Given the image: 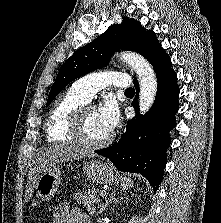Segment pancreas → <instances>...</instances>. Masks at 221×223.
<instances>
[{"mask_svg": "<svg viewBox=\"0 0 221 223\" xmlns=\"http://www.w3.org/2000/svg\"><path fill=\"white\" fill-rule=\"evenodd\" d=\"M103 191L98 188L88 189L84 191V193H78L75 195L74 199L78 204H83L86 206L87 211L94 215L96 212L95 204L98 202V195H100Z\"/></svg>", "mask_w": 221, "mask_h": 223, "instance_id": "obj_1", "label": "pancreas"}]
</instances>
